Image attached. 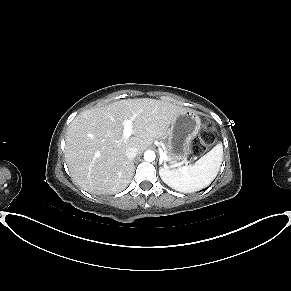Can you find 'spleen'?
<instances>
[{
	"instance_id": "spleen-1",
	"label": "spleen",
	"mask_w": 291,
	"mask_h": 291,
	"mask_svg": "<svg viewBox=\"0 0 291 291\" xmlns=\"http://www.w3.org/2000/svg\"><path fill=\"white\" fill-rule=\"evenodd\" d=\"M222 156L223 146L218 143L193 165L174 170L164 167L159 170V174L168 186L177 191L184 193L199 191L210 185L217 176Z\"/></svg>"
}]
</instances>
